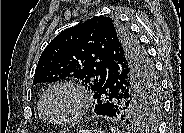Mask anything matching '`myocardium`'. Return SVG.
<instances>
[{
  "mask_svg": "<svg viewBox=\"0 0 184 133\" xmlns=\"http://www.w3.org/2000/svg\"><path fill=\"white\" fill-rule=\"evenodd\" d=\"M59 89L67 90L73 94L76 100V107L69 116L61 119H52L46 111V100L52 92ZM87 107L88 101L85 91L81 86L72 82H60L52 85L45 91L39 103L40 114L48 123L52 125H66L77 121L84 115Z\"/></svg>",
  "mask_w": 184,
  "mask_h": 133,
  "instance_id": "obj_1",
  "label": "myocardium"
}]
</instances>
